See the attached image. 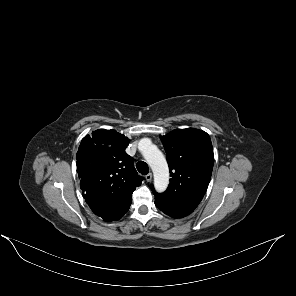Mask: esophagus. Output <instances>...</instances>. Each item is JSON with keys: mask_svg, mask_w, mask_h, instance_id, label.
<instances>
[{"mask_svg": "<svg viewBox=\"0 0 296 296\" xmlns=\"http://www.w3.org/2000/svg\"><path fill=\"white\" fill-rule=\"evenodd\" d=\"M145 179H146L147 182H150L152 180V174L151 173L147 174L145 176Z\"/></svg>", "mask_w": 296, "mask_h": 296, "instance_id": "obj_1", "label": "esophagus"}]
</instances>
